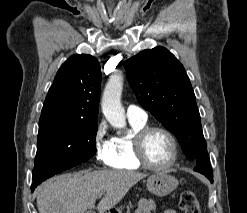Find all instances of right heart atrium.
<instances>
[{"label":"right heart atrium","instance_id":"d8ad5b80","mask_svg":"<svg viewBox=\"0 0 247 213\" xmlns=\"http://www.w3.org/2000/svg\"><path fill=\"white\" fill-rule=\"evenodd\" d=\"M93 146L97 161L103 165H111L113 159L112 139L108 136L104 121L98 123L93 136Z\"/></svg>","mask_w":247,"mask_h":213}]
</instances>
